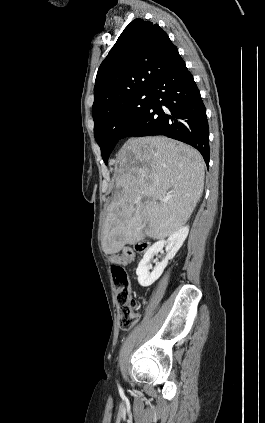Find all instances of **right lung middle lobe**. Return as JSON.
<instances>
[{
  "label": "right lung middle lobe",
  "mask_w": 265,
  "mask_h": 423,
  "mask_svg": "<svg viewBox=\"0 0 265 423\" xmlns=\"http://www.w3.org/2000/svg\"><path fill=\"white\" fill-rule=\"evenodd\" d=\"M150 101V90L135 93L109 108L94 121V136L105 164L118 140L146 110Z\"/></svg>",
  "instance_id": "1"
}]
</instances>
